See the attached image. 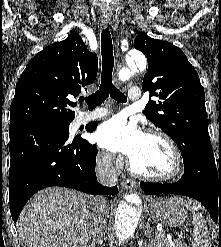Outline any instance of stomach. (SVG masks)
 <instances>
[{
    "label": "stomach",
    "mask_w": 221,
    "mask_h": 247,
    "mask_svg": "<svg viewBox=\"0 0 221 247\" xmlns=\"http://www.w3.org/2000/svg\"><path fill=\"white\" fill-rule=\"evenodd\" d=\"M151 216L170 227L181 225L187 218V202L179 197L158 198L149 204Z\"/></svg>",
    "instance_id": "0dacf381"
}]
</instances>
